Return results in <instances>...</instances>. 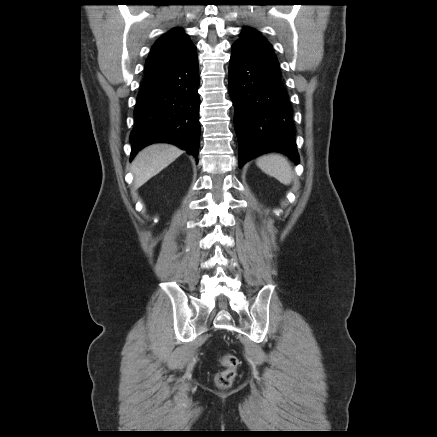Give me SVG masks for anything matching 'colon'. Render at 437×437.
I'll return each instance as SVG.
<instances>
[{
    "label": "colon",
    "mask_w": 437,
    "mask_h": 437,
    "mask_svg": "<svg viewBox=\"0 0 437 437\" xmlns=\"http://www.w3.org/2000/svg\"><path fill=\"white\" fill-rule=\"evenodd\" d=\"M221 364L223 369L217 373L215 381L219 387L228 388L236 377L239 359L236 355L227 353L222 357Z\"/></svg>",
    "instance_id": "obj_1"
}]
</instances>
